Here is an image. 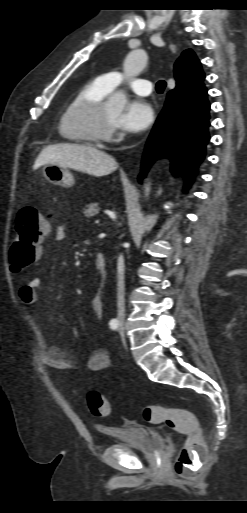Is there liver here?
Segmentation results:
<instances>
[{"label":"liver","instance_id":"obj_1","mask_svg":"<svg viewBox=\"0 0 247 513\" xmlns=\"http://www.w3.org/2000/svg\"><path fill=\"white\" fill-rule=\"evenodd\" d=\"M57 164L95 177L109 175L117 168L116 161L105 152L89 145L55 144L44 148L33 165Z\"/></svg>","mask_w":247,"mask_h":513}]
</instances>
